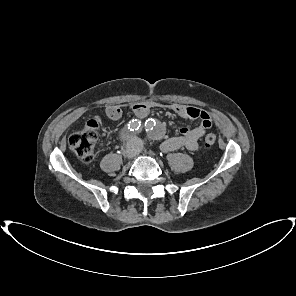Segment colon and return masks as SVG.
Wrapping results in <instances>:
<instances>
[{"mask_svg": "<svg viewBox=\"0 0 296 296\" xmlns=\"http://www.w3.org/2000/svg\"><path fill=\"white\" fill-rule=\"evenodd\" d=\"M98 139V124L91 120L86 125L74 131L69 137V148L75 155L85 163L92 162L95 157V146ZM204 143L210 147L216 143V136L213 134L206 135Z\"/></svg>", "mask_w": 296, "mask_h": 296, "instance_id": "1", "label": "colon"}]
</instances>
